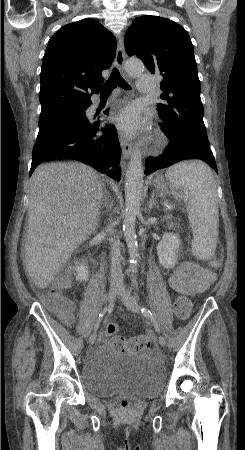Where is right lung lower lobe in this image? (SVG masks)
Returning <instances> with one entry per match:
<instances>
[{
	"label": "right lung lower lobe",
	"instance_id": "right-lung-lower-lobe-1",
	"mask_svg": "<svg viewBox=\"0 0 245 450\" xmlns=\"http://www.w3.org/2000/svg\"><path fill=\"white\" fill-rule=\"evenodd\" d=\"M85 105L83 114L61 122L52 136L36 144L33 149L30 175L41 162L53 158H67L85 162L101 173L119 181L121 150L116 131L108 128L99 134V121L88 120Z\"/></svg>",
	"mask_w": 245,
	"mask_h": 450
}]
</instances>
